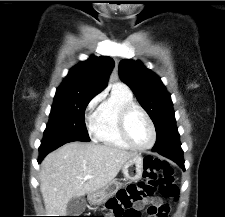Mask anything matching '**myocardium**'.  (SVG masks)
Here are the masks:
<instances>
[{
    "mask_svg": "<svg viewBox=\"0 0 225 217\" xmlns=\"http://www.w3.org/2000/svg\"><path fill=\"white\" fill-rule=\"evenodd\" d=\"M134 111H139L143 114V116L146 118L150 129H151V134H152V139L151 142L146 145V146H138L136 145L130 135H129V131H128V120L129 117L131 116V114ZM118 125H119V132L120 135L123 139V141L132 149L134 150H139V151H145L148 150L150 148H152L156 142V129H155V125L150 117V115L147 113V111L140 106L139 104L132 102L129 104H126L125 106H123L119 112V117H118Z\"/></svg>",
    "mask_w": 225,
    "mask_h": 217,
    "instance_id": "myocardium-1",
    "label": "myocardium"
}]
</instances>
